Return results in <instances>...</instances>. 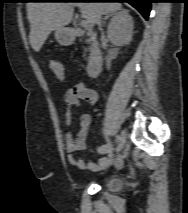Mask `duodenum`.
Instances as JSON below:
<instances>
[{
	"mask_svg": "<svg viewBox=\"0 0 188 213\" xmlns=\"http://www.w3.org/2000/svg\"><path fill=\"white\" fill-rule=\"evenodd\" d=\"M75 35H86L90 40L93 46V50L90 56V60L87 66L88 75L92 78L97 77L103 67V56L98 46L97 37L89 32H84L82 30H76L74 32Z\"/></svg>",
	"mask_w": 188,
	"mask_h": 213,
	"instance_id": "1",
	"label": "duodenum"
}]
</instances>
